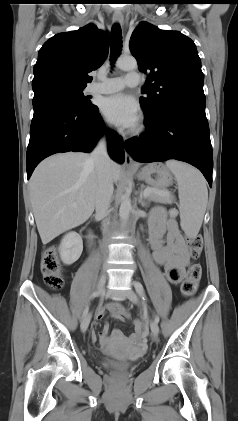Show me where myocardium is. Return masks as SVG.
I'll return each instance as SVG.
<instances>
[{"instance_id": "obj_1", "label": "myocardium", "mask_w": 238, "mask_h": 421, "mask_svg": "<svg viewBox=\"0 0 238 421\" xmlns=\"http://www.w3.org/2000/svg\"><path fill=\"white\" fill-rule=\"evenodd\" d=\"M142 132V128H139V129H137L136 131H135V134H139V133H141Z\"/></svg>"}]
</instances>
